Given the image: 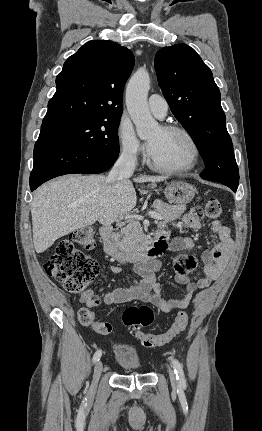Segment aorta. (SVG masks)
Returning <instances> with one entry per match:
<instances>
[{
    "label": "aorta",
    "instance_id": "1",
    "mask_svg": "<svg viewBox=\"0 0 262 431\" xmlns=\"http://www.w3.org/2000/svg\"><path fill=\"white\" fill-rule=\"evenodd\" d=\"M149 89L150 77L144 69L136 71L126 89L127 110L140 138L147 137L158 127V123L150 114L147 103Z\"/></svg>",
    "mask_w": 262,
    "mask_h": 431
}]
</instances>
